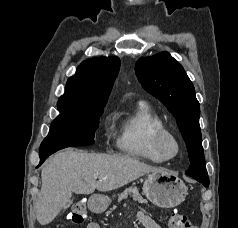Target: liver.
<instances>
[{"instance_id": "liver-1", "label": "liver", "mask_w": 238, "mask_h": 228, "mask_svg": "<svg viewBox=\"0 0 238 228\" xmlns=\"http://www.w3.org/2000/svg\"><path fill=\"white\" fill-rule=\"evenodd\" d=\"M162 171L126 155L85 153L73 149L59 152L41 172L42 186L35 203L37 221L41 225L52 222L70 203L73 192L110 191L145 174Z\"/></svg>"}]
</instances>
